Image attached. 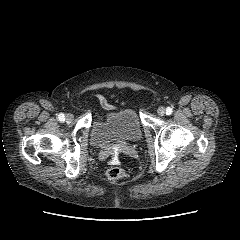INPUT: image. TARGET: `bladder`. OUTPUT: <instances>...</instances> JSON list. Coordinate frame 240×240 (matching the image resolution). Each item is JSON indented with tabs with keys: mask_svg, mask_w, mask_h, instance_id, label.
<instances>
[{
	"mask_svg": "<svg viewBox=\"0 0 240 240\" xmlns=\"http://www.w3.org/2000/svg\"><path fill=\"white\" fill-rule=\"evenodd\" d=\"M143 130L137 113L121 108L100 116L94 122L90 142L96 148L110 145H135L141 141Z\"/></svg>",
	"mask_w": 240,
	"mask_h": 240,
	"instance_id": "obj_1",
	"label": "bladder"
}]
</instances>
